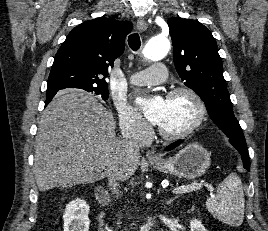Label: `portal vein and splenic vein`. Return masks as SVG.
I'll use <instances>...</instances> for the list:
<instances>
[{
  "label": "portal vein and splenic vein",
  "mask_w": 268,
  "mask_h": 231,
  "mask_svg": "<svg viewBox=\"0 0 268 231\" xmlns=\"http://www.w3.org/2000/svg\"><path fill=\"white\" fill-rule=\"evenodd\" d=\"M202 187L201 184H193V185H187V186H180L175 188L172 192L175 194H180V193H185V192H189V191H193L195 189H200ZM210 188V186H209ZM211 190V188H210Z\"/></svg>",
  "instance_id": "1"
}]
</instances>
